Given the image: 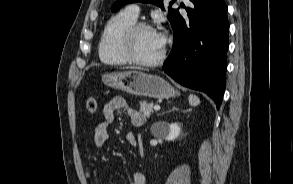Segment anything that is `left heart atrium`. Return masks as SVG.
Listing matches in <instances>:
<instances>
[{
    "label": "left heart atrium",
    "mask_w": 293,
    "mask_h": 184,
    "mask_svg": "<svg viewBox=\"0 0 293 184\" xmlns=\"http://www.w3.org/2000/svg\"><path fill=\"white\" fill-rule=\"evenodd\" d=\"M158 41L163 46L165 43V35L163 33H156Z\"/></svg>",
    "instance_id": "left-heart-atrium-1"
}]
</instances>
